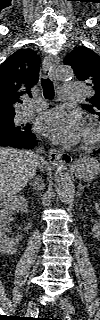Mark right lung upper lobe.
<instances>
[{"mask_svg": "<svg viewBox=\"0 0 100 320\" xmlns=\"http://www.w3.org/2000/svg\"><path fill=\"white\" fill-rule=\"evenodd\" d=\"M39 70V57L30 49L16 51L0 65V119L14 117V104L31 95Z\"/></svg>", "mask_w": 100, "mask_h": 320, "instance_id": "cb5924a9", "label": "right lung upper lobe"}]
</instances>
